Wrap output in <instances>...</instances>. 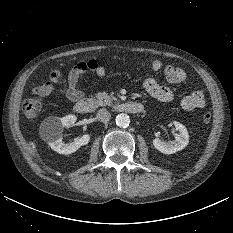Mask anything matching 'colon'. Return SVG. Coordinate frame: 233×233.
<instances>
[{"label": "colon", "mask_w": 233, "mask_h": 233, "mask_svg": "<svg viewBox=\"0 0 233 233\" xmlns=\"http://www.w3.org/2000/svg\"><path fill=\"white\" fill-rule=\"evenodd\" d=\"M22 108H23V111H24L26 116L35 117L42 110V101L38 97L26 99L23 102ZM211 118H212L211 114L207 112V113L203 114L202 122L204 124H208L211 121Z\"/></svg>", "instance_id": "1"}]
</instances>
